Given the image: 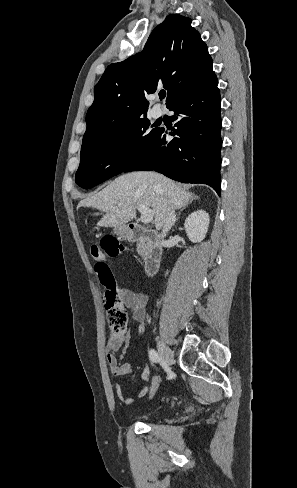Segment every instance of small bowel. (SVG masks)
Returning a JSON list of instances; mask_svg holds the SVG:
<instances>
[{
	"instance_id": "obj_1",
	"label": "small bowel",
	"mask_w": 297,
	"mask_h": 488,
	"mask_svg": "<svg viewBox=\"0 0 297 488\" xmlns=\"http://www.w3.org/2000/svg\"><path fill=\"white\" fill-rule=\"evenodd\" d=\"M118 295L121 304L131 311L132 319L138 325V334L143 335L145 332V318H146L147 303H148L147 296L142 292L133 291L128 288L118 289ZM120 343H122L123 345L122 353L120 356H117L115 350ZM130 343H131V334L129 330L125 333L124 337L121 340L116 341L110 336L107 342V346H106L107 363L109 366V370L115 379H118L120 377L126 376L131 373L132 370L131 363L120 362V359L126 353ZM141 378L143 381L150 380V370L148 367H146L142 372ZM149 389L150 387L145 386L140 391H138V393L134 397H129L124 394L122 387L119 383L116 382L115 384V391L117 397L119 401L125 405H131L138 399L147 396V392Z\"/></svg>"
}]
</instances>
